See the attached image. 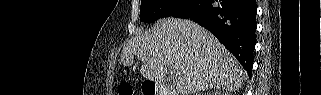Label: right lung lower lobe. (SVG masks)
<instances>
[{"mask_svg": "<svg viewBox=\"0 0 321 95\" xmlns=\"http://www.w3.org/2000/svg\"><path fill=\"white\" fill-rule=\"evenodd\" d=\"M256 12L255 0H206L188 18L213 33L237 58L250 78L256 44Z\"/></svg>", "mask_w": 321, "mask_h": 95, "instance_id": "1", "label": "right lung lower lobe"}]
</instances>
